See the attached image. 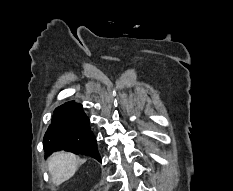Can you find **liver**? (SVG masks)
<instances>
[{
	"label": "liver",
	"mask_w": 233,
	"mask_h": 191,
	"mask_svg": "<svg viewBox=\"0 0 233 191\" xmlns=\"http://www.w3.org/2000/svg\"><path fill=\"white\" fill-rule=\"evenodd\" d=\"M77 157L70 152H56L48 159V170L55 185L70 179L76 172Z\"/></svg>",
	"instance_id": "obj_1"
}]
</instances>
